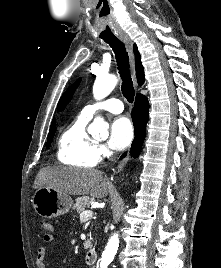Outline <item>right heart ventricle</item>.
Wrapping results in <instances>:
<instances>
[{"instance_id":"e07e8e85","label":"right heart ventricle","mask_w":221,"mask_h":268,"mask_svg":"<svg viewBox=\"0 0 221 268\" xmlns=\"http://www.w3.org/2000/svg\"><path fill=\"white\" fill-rule=\"evenodd\" d=\"M89 119L79 114L61 134L57 146L60 163L79 168H91L98 163V145L86 131Z\"/></svg>"}]
</instances>
